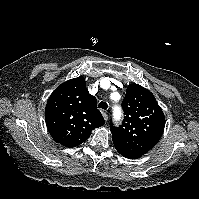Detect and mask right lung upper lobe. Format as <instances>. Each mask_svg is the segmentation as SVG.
I'll return each mask as SVG.
<instances>
[{"instance_id": "obj_1", "label": "right lung upper lobe", "mask_w": 199, "mask_h": 199, "mask_svg": "<svg viewBox=\"0 0 199 199\" xmlns=\"http://www.w3.org/2000/svg\"><path fill=\"white\" fill-rule=\"evenodd\" d=\"M97 100L89 94L84 77L70 79L59 85L49 97L45 108L48 131L55 141L73 148L86 141L91 131L104 124L97 109Z\"/></svg>"}]
</instances>
